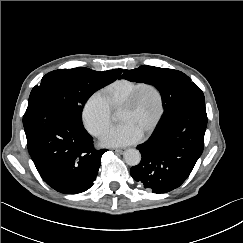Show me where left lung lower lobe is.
Returning <instances> with one entry per match:
<instances>
[{
	"label": "left lung lower lobe",
	"mask_w": 243,
	"mask_h": 243,
	"mask_svg": "<svg viewBox=\"0 0 243 243\" xmlns=\"http://www.w3.org/2000/svg\"><path fill=\"white\" fill-rule=\"evenodd\" d=\"M206 126L205 99L175 111L144 144L137 146L142 159L130 169L133 179L153 193L178 188L202 154Z\"/></svg>",
	"instance_id": "obj_1"
}]
</instances>
